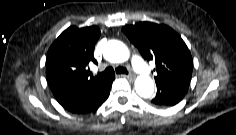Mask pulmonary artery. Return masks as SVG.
I'll return each mask as SVG.
<instances>
[{
  "instance_id": "obj_1",
  "label": "pulmonary artery",
  "mask_w": 236,
  "mask_h": 135,
  "mask_svg": "<svg viewBox=\"0 0 236 135\" xmlns=\"http://www.w3.org/2000/svg\"><path fill=\"white\" fill-rule=\"evenodd\" d=\"M131 63L134 67V69L140 73V74H149L150 73V68L148 65L143 61V59L137 55L133 54L131 56Z\"/></svg>"
}]
</instances>
